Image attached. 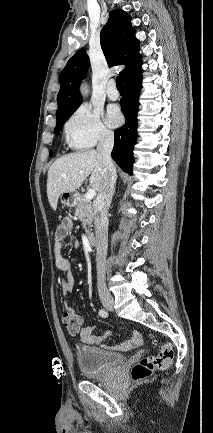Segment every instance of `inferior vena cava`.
<instances>
[{
  "mask_svg": "<svg viewBox=\"0 0 213 433\" xmlns=\"http://www.w3.org/2000/svg\"><path fill=\"white\" fill-rule=\"evenodd\" d=\"M114 145L112 132L105 131L101 134L97 151L103 161V181L100 191L94 201L95 212V236H96V264L98 292H106L105 264L108 248V218L107 213L112 200L116 182V169L111 158Z\"/></svg>",
  "mask_w": 213,
  "mask_h": 433,
  "instance_id": "1",
  "label": "inferior vena cava"
}]
</instances>
